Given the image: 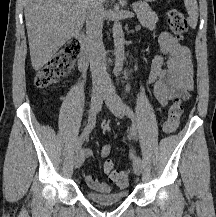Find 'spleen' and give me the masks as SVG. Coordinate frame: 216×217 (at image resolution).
Instances as JSON below:
<instances>
[{
  "label": "spleen",
  "mask_w": 216,
  "mask_h": 217,
  "mask_svg": "<svg viewBox=\"0 0 216 217\" xmlns=\"http://www.w3.org/2000/svg\"><path fill=\"white\" fill-rule=\"evenodd\" d=\"M184 4L189 14L188 23L192 28H196L197 21H198L197 0H184Z\"/></svg>",
  "instance_id": "spleen-1"
}]
</instances>
